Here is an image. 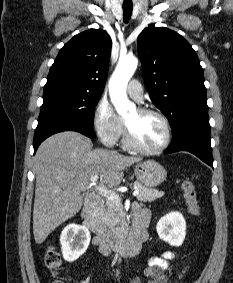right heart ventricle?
I'll use <instances>...</instances> for the list:
<instances>
[{
	"instance_id": "obj_1",
	"label": "right heart ventricle",
	"mask_w": 233,
	"mask_h": 283,
	"mask_svg": "<svg viewBox=\"0 0 233 283\" xmlns=\"http://www.w3.org/2000/svg\"><path fill=\"white\" fill-rule=\"evenodd\" d=\"M124 144L127 145L126 140H124Z\"/></svg>"
}]
</instances>
